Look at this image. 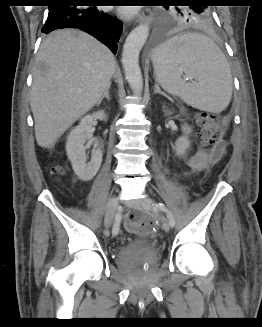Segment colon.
Segmentation results:
<instances>
[{
    "label": "colon",
    "mask_w": 262,
    "mask_h": 327,
    "mask_svg": "<svg viewBox=\"0 0 262 327\" xmlns=\"http://www.w3.org/2000/svg\"><path fill=\"white\" fill-rule=\"evenodd\" d=\"M200 126V140L204 148L213 146L211 152L212 161L219 162L225 154V144L220 140L221 124L220 121L211 113L201 111L196 117ZM56 174H60V169H55ZM154 225V221L144 213H131L126 218V227L132 232H149Z\"/></svg>",
    "instance_id": "1"
}]
</instances>
